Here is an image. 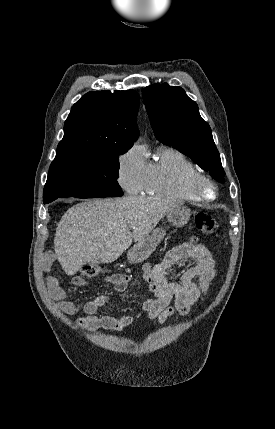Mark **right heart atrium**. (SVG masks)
Returning <instances> with one entry per match:
<instances>
[{
  "mask_svg": "<svg viewBox=\"0 0 275 429\" xmlns=\"http://www.w3.org/2000/svg\"><path fill=\"white\" fill-rule=\"evenodd\" d=\"M146 165L138 148H129L118 157L117 178L121 187L131 194L143 191L146 182Z\"/></svg>",
  "mask_w": 275,
  "mask_h": 429,
  "instance_id": "obj_1",
  "label": "right heart atrium"
}]
</instances>
